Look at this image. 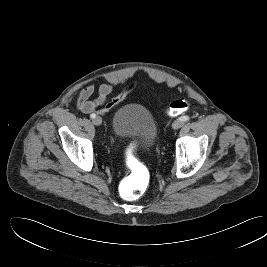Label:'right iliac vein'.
<instances>
[{"instance_id": "63e3f726", "label": "right iliac vein", "mask_w": 267, "mask_h": 267, "mask_svg": "<svg viewBox=\"0 0 267 267\" xmlns=\"http://www.w3.org/2000/svg\"><path fill=\"white\" fill-rule=\"evenodd\" d=\"M93 124L96 125V126H99L102 124V119L101 117L97 116L93 119Z\"/></svg>"}]
</instances>
